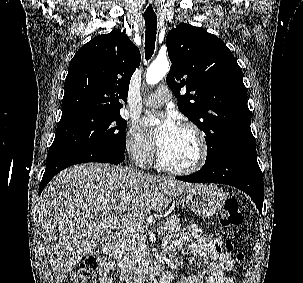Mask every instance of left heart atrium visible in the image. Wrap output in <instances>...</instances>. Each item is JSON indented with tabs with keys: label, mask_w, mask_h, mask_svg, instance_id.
Returning a JSON list of instances; mask_svg holds the SVG:
<instances>
[{
	"label": "left heart atrium",
	"mask_w": 303,
	"mask_h": 283,
	"mask_svg": "<svg viewBox=\"0 0 303 283\" xmlns=\"http://www.w3.org/2000/svg\"><path fill=\"white\" fill-rule=\"evenodd\" d=\"M156 118L160 119V124L153 128V122ZM143 124L150 130L152 138L159 149L166 146L179 128L172 113L149 115L144 119Z\"/></svg>",
	"instance_id": "39dd6f15"
}]
</instances>
